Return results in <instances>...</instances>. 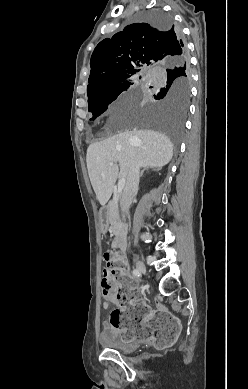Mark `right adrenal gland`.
I'll return each instance as SVG.
<instances>
[{"label": "right adrenal gland", "instance_id": "right-adrenal-gland-1", "mask_svg": "<svg viewBox=\"0 0 248 389\" xmlns=\"http://www.w3.org/2000/svg\"><path fill=\"white\" fill-rule=\"evenodd\" d=\"M160 170V168L159 167H156V168H154V167H146V168H144L142 171H141V174H140V177H142L143 176V174H144V172L145 171H148V170Z\"/></svg>", "mask_w": 248, "mask_h": 389}]
</instances>
